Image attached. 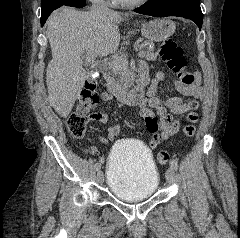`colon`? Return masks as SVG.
Segmentation results:
<instances>
[{
	"label": "colon",
	"mask_w": 240,
	"mask_h": 238,
	"mask_svg": "<svg viewBox=\"0 0 240 238\" xmlns=\"http://www.w3.org/2000/svg\"><path fill=\"white\" fill-rule=\"evenodd\" d=\"M162 59L168 67L177 75L179 81L184 86H192L196 82V75L188 70L187 60L183 54V49L172 40H165L159 49ZM98 103L97 83L87 81L81 92L77 109L72 112L66 120V127L69 133L75 138H82L87 131V113ZM196 128L193 122H188L183 134L186 138L194 136ZM169 160L168 152L162 150L157 155V162L165 165Z\"/></svg>",
	"instance_id": "colon-1"
}]
</instances>
